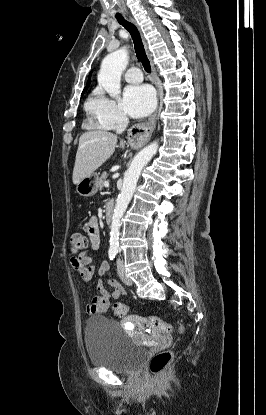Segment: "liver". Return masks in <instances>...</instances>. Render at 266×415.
<instances>
[{"label": "liver", "instance_id": "1", "mask_svg": "<svg viewBox=\"0 0 266 415\" xmlns=\"http://www.w3.org/2000/svg\"><path fill=\"white\" fill-rule=\"evenodd\" d=\"M117 136L104 130L87 131L79 138L73 169V183L91 175L115 151Z\"/></svg>", "mask_w": 266, "mask_h": 415}]
</instances>
